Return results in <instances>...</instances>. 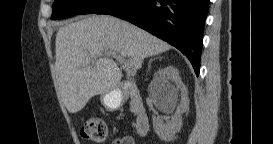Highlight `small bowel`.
I'll list each match as a JSON object with an SVG mask.
<instances>
[{
    "instance_id": "1",
    "label": "small bowel",
    "mask_w": 273,
    "mask_h": 144,
    "mask_svg": "<svg viewBox=\"0 0 273 144\" xmlns=\"http://www.w3.org/2000/svg\"><path fill=\"white\" fill-rule=\"evenodd\" d=\"M113 144H130L131 139L127 136L116 138L113 142Z\"/></svg>"
}]
</instances>
